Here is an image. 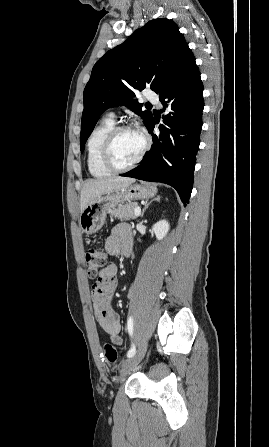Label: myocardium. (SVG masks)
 Here are the masks:
<instances>
[{
  "label": "myocardium",
  "mask_w": 269,
  "mask_h": 447,
  "mask_svg": "<svg viewBox=\"0 0 269 447\" xmlns=\"http://www.w3.org/2000/svg\"><path fill=\"white\" fill-rule=\"evenodd\" d=\"M135 128L131 124H122L118 126H114L113 129L108 133L104 144L102 148V162L105 166H107L109 169L115 172H122L127 171L132 168H134L136 165H138L146 156V154L149 152L152 146V140L150 135L143 129H140L144 136H145V146L141 153L138 155V157L130 164L128 165H119L115 162L113 157V144L117 137V135L127 129Z\"/></svg>",
  "instance_id": "1"
}]
</instances>
